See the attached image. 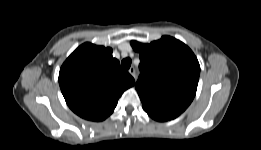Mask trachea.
<instances>
[{"mask_svg": "<svg viewBox=\"0 0 261 150\" xmlns=\"http://www.w3.org/2000/svg\"><path fill=\"white\" fill-rule=\"evenodd\" d=\"M121 65L124 69H129L131 66V59L130 58H125L121 61Z\"/></svg>", "mask_w": 261, "mask_h": 150, "instance_id": "3493384b", "label": "trachea"}]
</instances>
